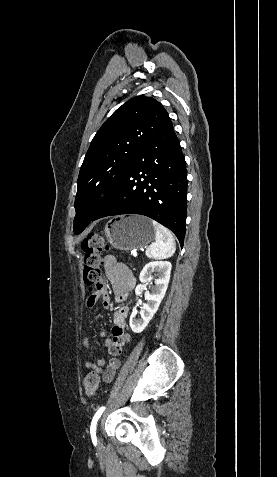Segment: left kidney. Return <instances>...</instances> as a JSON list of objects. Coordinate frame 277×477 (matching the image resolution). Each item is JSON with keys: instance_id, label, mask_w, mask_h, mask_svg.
I'll return each instance as SVG.
<instances>
[{"instance_id": "1", "label": "left kidney", "mask_w": 277, "mask_h": 477, "mask_svg": "<svg viewBox=\"0 0 277 477\" xmlns=\"http://www.w3.org/2000/svg\"><path fill=\"white\" fill-rule=\"evenodd\" d=\"M171 268L172 265L168 261H154L149 262L142 269L139 276L141 284H139L135 289L136 296H139L142 293L145 284L149 281L152 274L157 275L158 278L155 279V286L152 289V293H146L145 295L147 304L142 307L141 319H135V308L130 316L129 324L131 330L134 333H141L147 327L148 323L157 312L168 287Z\"/></svg>"}]
</instances>
